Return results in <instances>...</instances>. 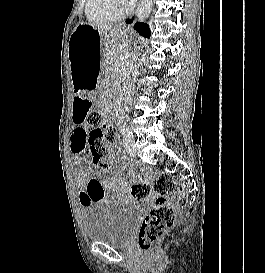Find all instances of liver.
Returning a JSON list of instances; mask_svg holds the SVG:
<instances>
[{"instance_id":"obj_1","label":"liver","mask_w":265,"mask_h":273,"mask_svg":"<svg viewBox=\"0 0 265 273\" xmlns=\"http://www.w3.org/2000/svg\"><path fill=\"white\" fill-rule=\"evenodd\" d=\"M84 24V23H81ZM92 28L98 30L102 34H110L111 36L117 35L119 31L122 29L121 25H106V24H101V23H92L89 24Z\"/></svg>"}]
</instances>
